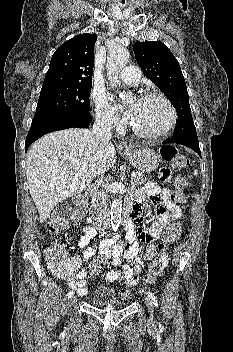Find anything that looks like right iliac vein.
Returning <instances> with one entry per match:
<instances>
[{
    "label": "right iliac vein",
    "mask_w": 233,
    "mask_h": 352,
    "mask_svg": "<svg viewBox=\"0 0 233 352\" xmlns=\"http://www.w3.org/2000/svg\"><path fill=\"white\" fill-rule=\"evenodd\" d=\"M75 302H76V297L75 296L70 297V306L74 305Z\"/></svg>",
    "instance_id": "1"
}]
</instances>
